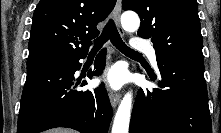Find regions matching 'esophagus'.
<instances>
[{
	"mask_svg": "<svg viewBox=\"0 0 221 133\" xmlns=\"http://www.w3.org/2000/svg\"><path fill=\"white\" fill-rule=\"evenodd\" d=\"M120 15H121V0H117L113 11V18L120 34L124 35V31L120 25ZM120 98H121L120 93L110 91L109 99L113 108L117 106V104L120 101Z\"/></svg>",
	"mask_w": 221,
	"mask_h": 133,
	"instance_id": "esophagus-1",
	"label": "esophagus"
}]
</instances>
